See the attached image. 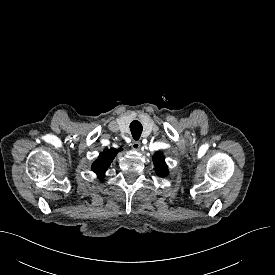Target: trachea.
I'll list each match as a JSON object with an SVG mask.
<instances>
[{"mask_svg": "<svg viewBox=\"0 0 275 275\" xmlns=\"http://www.w3.org/2000/svg\"><path fill=\"white\" fill-rule=\"evenodd\" d=\"M142 130H143V127L139 121L134 120L130 123V131L133 139L138 140L141 136Z\"/></svg>", "mask_w": 275, "mask_h": 275, "instance_id": "3493384b", "label": "trachea"}]
</instances>
